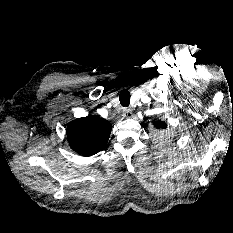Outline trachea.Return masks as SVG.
<instances>
[{
    "instance_id": "trachea-1",
    "label": "trachea",
    "mask_w": 233,
    "mask_h": 233,
    "mask_svg": "<svg viewBox=\"0 0 233 233\" xmlns=\"http://www.w3.org/2000/svg\"><path fill=\"white\" fill-rule=\"evenodd\" d=\"M120 103L123 107H128L130 104V93L126 89L122 90L119 95Z\"/></svg>"
}]
</instances>
